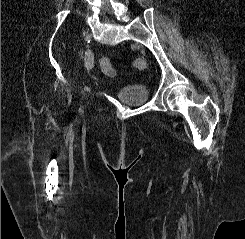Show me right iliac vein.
<instances>
[{
	"mask_svg": "<svg viewBox=\"0 0 245 239\" xmlns=\"http://www.w3.org/2000/svg\"><path fill=\"white\" fill-rule=\"evenodd\" d=\"M82 55H83V52H81V57H82Z\"/></svg>",
	"mask_w": 245,
	"mask_h": 239,
	"instance_id": "obj_1",
	"label": "right iliac vein"
}]
</instances>
